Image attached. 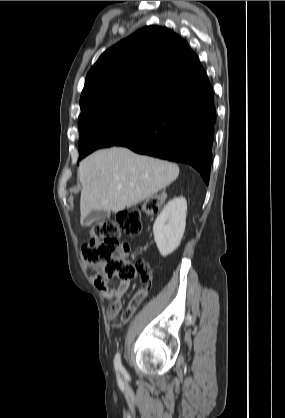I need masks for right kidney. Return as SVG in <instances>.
Segmentation results:
<instances>
[{
    "label": "right kidney",
    "instance_id": "obj_1",
    "mask_svg": "<svg viewBox=\"0 0 285 418\" xmlns=\"http://www.w3.org/2000/svg\"><path fill=\"white\" fill-rule=\"evenodd\" d=\"M187 202L184 197L168 202L153 225L154 240L163 257L171 254L180 244L186 225Z\"/></svg>",
    "mask_w": 285,
    "mask_h": 418
}]
</instances>
